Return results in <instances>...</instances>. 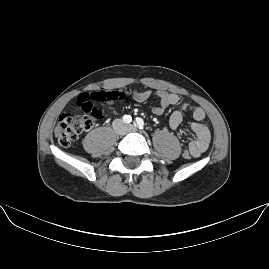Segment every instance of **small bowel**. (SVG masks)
Here are the masks:
<instances>
[{"label":"small bowel","mask_w":269,"mask_h":269,"mask_svg":"<svg viewBox=\"0 0 269 269\" xmlns=\"http://www.w3.org/2000/svg\"><path fill=\"white\" fill-rule=\"evenodd\" d=\"M152 96L159 100V104L153 108V113L156 115H162L169 106L178 105V108L171 113L168 121L170 128L173 130H179L184 119V112L187 110L192 111L194 121L191 123L190 128L195 135V139L189 141L188 148L193 157H200L208 149L211 141L210 129L204 122V110L186 102L181 103L176 93L163 90L136 93L134 99L143 102Z\"/></svg>","instance_id":"obj_1"}]
</instances>
